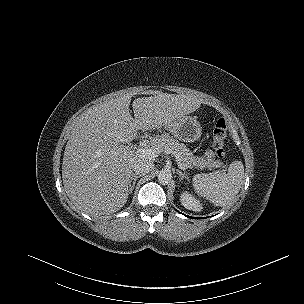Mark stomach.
Here are the masks:
<instances>
[{
	"label": "stomach",
	"mask_w": 304,
	"mask_h": 304,
	"mask_svg": "<svg viewBox=\"0 0 304 304\" xmlns=\"http://www.w3.org/2000/svg\"><path fill=\"white\" fill-rule=\"evenodd\" d=\"M168 130L175 138L185 142L198 140L202 131L199 122L191 116H183L169 124Z\"/></svg>",
	"instance_id": "0dacf381"
}]
</instances>
